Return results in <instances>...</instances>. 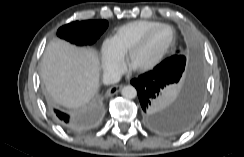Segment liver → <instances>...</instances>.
<instances>
[{
  "instance_id": "6515ba94",
  "label": "liver",
  "mask_w": 244,
  "mask_h": 157,
  "mask_svg": "<svg viewBox=\"0 0 244 157\" xmlns=\"http://www.w3.org/2000/svg\"><path fill=\"white\" fill-rule=\"evenodd\" d=\"M99 63L98 53L93 48L53 40L41 60V78L56 103L78 108L98 92Z\"/></svg>"
}]
</instances>
